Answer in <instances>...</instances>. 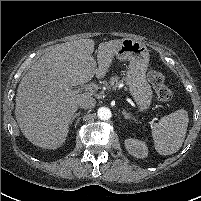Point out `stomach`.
Masks as SVG:
<instances>
[{
	"label": "stomach",
	"mask_w": 201,
	"mask_h": 201,
	"mask_svg": "<svg viewBox=\"0 0 201 201\" xmlns=\"http://www.w3.org/2000/svg\"><path fill=\"white\" fill-rule=\"evenodd\" d=\"M115 57L120 61H129L125 80L139 109L141 111L146 110L152 99V90L146 80L150 58L148 48L139 41L124 39Z\"/></svg>",
	"instance_id": "obj_1"
}]
</instances>
